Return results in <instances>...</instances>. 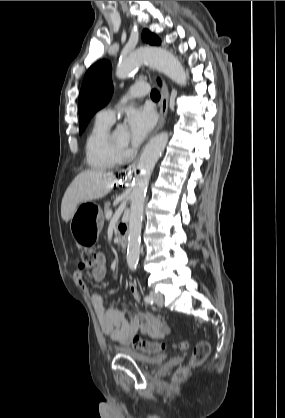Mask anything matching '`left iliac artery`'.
<instances>
[{"label":"left iliac artery","mask_w":285,"mask_h":418,"mask_svg":"<svg viewBox=\"0 0 285 418\" xmlns=\"http://www.w3.org/2000/svg\"><path fill=\"white\" fill-rule=\"evenodd\" d=\"M144 301H145L147 304H153L154 299H153L152 297H150V296H145V297H144Z\"/></svg>","instance_id":"obj_1"}]
</instances>
